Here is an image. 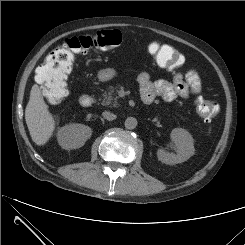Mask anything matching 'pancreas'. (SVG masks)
I'll use <instances>...</instances> for the list:
<instances>
[{"label":"pancreas","mask_w":245,"mask_h":245,"mask_svg":"<svg viewBox=\"0 0 245 245\" xmlns=\"http://www.w3.org/2000/svg\"><path fill=\"white\" fill-rule=\"evenodd\" d=\"M115 92V89L113 87H109V92H104L103 93V100H102V105H110L113 103V106L116 107L117 106V98L118 97H113Z\"/></svg>","instance_id":"pancreas-1"}]
</instances>
